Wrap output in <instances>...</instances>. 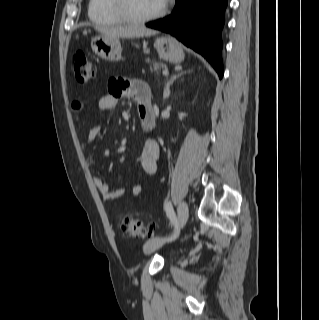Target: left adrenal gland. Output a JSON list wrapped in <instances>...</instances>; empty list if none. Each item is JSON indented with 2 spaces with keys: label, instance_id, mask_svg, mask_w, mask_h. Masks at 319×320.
<instances>
[{
  "label": "left adrenal gland",
  "instance_id": "obj_1",
  "mask_svg": "<svg viewBox=\"0 0 319 320\" xmlns=\"http://www.w3.org/2000/svg\"><path fill=\"white\" fill-rule=\"evenodd\" d=\"M186 72H180L178 74L173 75L166 83L163 93V99H167L170 96V86L174 83V81L182 76Z\"/></svg>",
  "mask_w": 319,
  "mask_h": 320
}]
</instances>
